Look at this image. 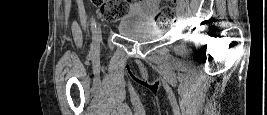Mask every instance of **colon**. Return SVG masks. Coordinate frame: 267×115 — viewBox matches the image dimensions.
<instances>
[{
	"mask_svg": "<svg viewBox=\"0 0 267 115\" xmlns=\"http://www.w3.org/2000/svg\"><path fill=\"white\" fill-rule=\"evenodd\" d=\"M129 11V2L126 0H106L99 10L100 17L107 22H115L123 18ZM176 11L172 5L159 7L155 12V20L161 24L173 22Z\"/></svg>",
	"mask_w": 267,
	"mask_h": 115,
	"instance_id": "colon-1",
	"label": "colon"
}]
</instances>
